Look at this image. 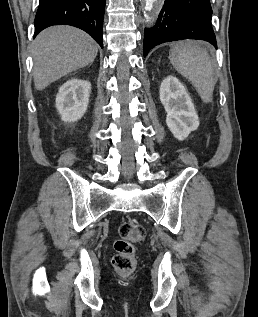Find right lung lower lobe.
Instances as JSON below:
<instances>
[{"instance_id":"98d812e1","label":"right lung lower lobe","mask_w":258,"mask_h":317,"mask_svg":"<svg viewBox=\"0 0 258 317\" xmlns=\"http://www.w3.org/2000/svg\"><path fill=\"white\" fill-rule=\"evenodd\" d=\"M106 0H40L34 37L52 25H71L86 31L103 48Z\"/></svg>"}]
</instances>
